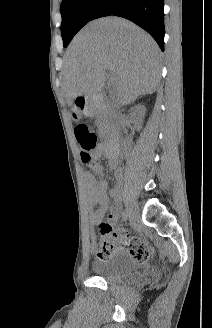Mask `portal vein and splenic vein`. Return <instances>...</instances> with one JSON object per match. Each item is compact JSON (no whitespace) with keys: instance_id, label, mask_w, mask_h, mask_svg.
I'll list each match as a JSON object with an SVG mask.
<instances>
[{"instance_id":"portal-vein-and-splenic-vein-1","label":"portal vein and splenic vein","mask_w":212,"mask_h":328,"mask_svg":"<svg viewBox=\"0 0 212 328\" xmlns=\"http://www.w3.org/2000/svg\"><path fill=\"white\" fill-rule=\"evenodd\" d=\"M112 78H113V75L110 76V79H112Z\"/></svg>"}]
</instances>
